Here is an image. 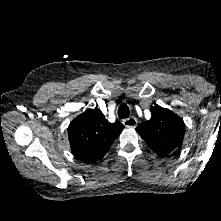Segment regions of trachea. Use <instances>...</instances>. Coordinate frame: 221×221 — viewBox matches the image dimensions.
<instances>
[{
  "instance_id": "1",
  "label": "trachea",
  "mask_w": 221,
  "mask_h": 221,
  "mask_svg": "<svg viewBox=\"0 0 221 221\" xmlns=\"http://www.w3.org/2000/svg\"><path fill=\"white\" fill-rule=\"evenodd\" d=\"M130 115L129 107L123 103L118 108V116L120 119L128 118Z\"/></svg>"
}]
</instances>
